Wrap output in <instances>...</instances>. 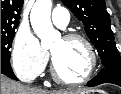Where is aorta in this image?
Returning <instances> with one entry per match:
<instances>
[{
  "label": "aorta",
  "instance_id": "obj_1",
  "mask_svg": "<svg viewBox=\"0 0 121 94\" xmlns=\"http://www.w3.org/2000/svg\"><path fill=\"white\" fill-rule=\"evenodd\" d=\"M52 0H36L30 14V21L35 34L41 39V46L49 48L60 33L53 28L50 14Z\"/></svg>",
  "mask_w": 121,
  "mask_h": 94
}]
</instances>
